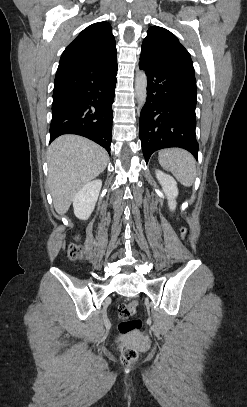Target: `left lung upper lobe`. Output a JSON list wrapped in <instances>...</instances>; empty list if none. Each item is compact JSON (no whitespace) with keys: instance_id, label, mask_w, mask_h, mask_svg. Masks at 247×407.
I'll return each mask as SVG.
<instances>
[{"instance_id":"5c2ea615","label":"left lung upper lobe","mask_w":247,"mask_h":407,"mask_svg":"<svg viewBox=\"0 0 247 407\" xmlns=\"http://www.w3.org/2000/svg\"><path fill=\"white\" fill-rule=\"evenodd\" d=\"M140 56L158 67L194 75L190 54L177 37L165 28L153 26L148 29Z\"/></svg>"}]
</instances>
